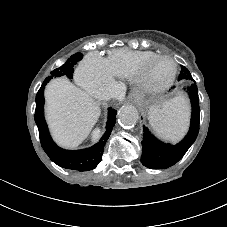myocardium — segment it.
<instances>
[{
	"label": "myocardium",
	"instance_id": "myocardium-1",
	"mask_svg": "<svg viewBox=\"0 0 227 227\" xmlns=\"http://www.w3.org/2000/svg\"><path fill=\"white\" fill-rule=\"evenodd\" d=\"M165 61L169 65L167 72L158 70L160 62ZM177 71L174 60L168 55H157L135 78L136 88L143 94L156 93L166 88L175 78Z\"/></svg>",
	"mask_w": 227,
	"mask_h": 227
}]
</instances>
